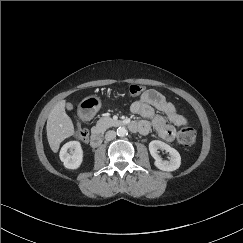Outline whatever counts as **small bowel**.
I'll return each instance as SVG.
<instances>
[{
	"label": "small bowel",
	"instance_id": "1",
	"mask_svg": "<svg viewBox=\"0 0 243 243\" xmlns=\"http://www.w3.org/2000/svg\"><path fill=\"white\" fill-rule=\"evenodd\" d=\"M155 110L160 111L163 116L156 115ZM131 112L143 118L138 122V133L147 135L153 128L157 136L167 142H172L176 137L177 128L187 123L174 104L154 89L144 91L139 99L132 103Z\"/></svg>",
	"mask_w": 243,
	"mask_h": 243
}]
</instances>
